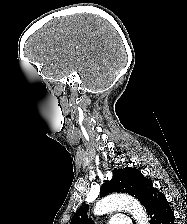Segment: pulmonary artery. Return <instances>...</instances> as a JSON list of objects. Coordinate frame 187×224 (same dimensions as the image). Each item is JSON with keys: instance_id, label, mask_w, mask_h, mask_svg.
Wrapping results in <instances>:
<instances>
[{"instance_id": "obj_1", "label": "pulmonary artery", "mask_w": 187, "mask_h": 224, "mask_svg": "<svg viewBox=\"0 0 187 224\" xmlns=\"http://www.w3.org/2000/svg\"><path fill=\"white\" fill-rule=\"evenodd\" d=\"M132 222L124 217H113L108 224H131Z\"/></svg>"}]
</instances>
